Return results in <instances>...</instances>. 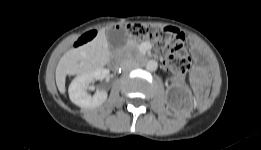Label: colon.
<instances>
[{"instance_id": "1", "label": "colon", "mask_w": 261, "mask_h": 150, "mask_svg": "<svg viewBox=\"0 0 261 150\" xmlns=\"http://www.w3.org/2000/svg\"><path fill=\"white\" fill-rule=\"evenodd\" d=\"M130 36L138 40H152L167 53L166 65L174 73L184 74L190 67L191 59L185 47L184 33L175 27H151L144 24H129L126 27ZM95 30L84 33L76 46L92 41Z\"/></svg>"}]
</instances>
